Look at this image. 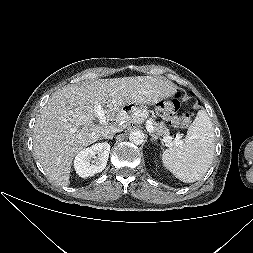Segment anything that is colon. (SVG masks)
<instances>
[{
    "label": "colon",
    "instance_id": "5ec220e1",
    "mask_svg": "<svg viewBox=\"0 0 253 253\" xmlns=\"http://www.w3.org/2000/svg\"><path fill=\"white\" fill-rule=\"evenodd\" d=\"M180 95H175L170 101L167 102V113L170 115H173L179 108L180 102H179ZM171 122L175 126H181L186 127L190 123V115L188 113L182 114L180 117L173 116L171 118Z\"/></svg>",
    "mask_w": 253,
    "mask_h": 253
}]
</instances>
